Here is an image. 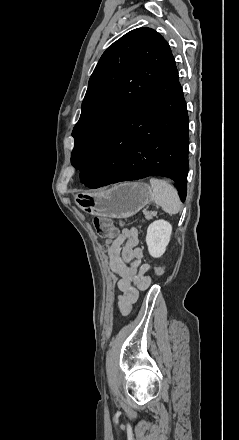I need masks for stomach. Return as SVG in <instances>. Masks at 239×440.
I'll return each instance as SVG.
<instances>
[{
    "mask_svg": "<svg viewBox=\"0 0 239 440\" xmlns=\"http://www.w3.org/2000/svg\"><path fill=\"white\" fill-rule=\"evenodd\" d=\"M152 188L140 182H125L109 190H98L93 194H77L75 202L83 212L103 218H131L147 206Z\"/></svg>",
    "mask_w": 239,
    "mask_h": 440,
    "instance_id": "1",
    "label": "stomach"
}]
</instances>
